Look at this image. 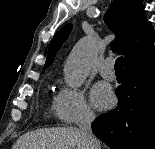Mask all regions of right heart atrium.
<instances>
[{"label": "right heart atrium", "mask_w": 155, "mask_h": 149, "mask_svg": "<svg viewBox=\"0 0 155 149\" xmlns=\"http://www.w3.org/2000/svg\"><path fill=\"white\" fill-rule=\"evenodd\" d=\"M57 118L66 125L90 123L95 113L86 101L84 92L77 88L64 86L54 99Z\"/></svg>", "instance_id": "d8ad5b80"}]
</instances>
